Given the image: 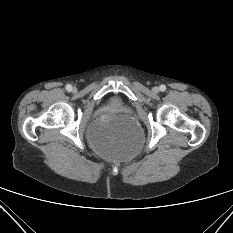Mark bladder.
<instances>
[{"instance_id": "31cf9c89", "label": "bladder", "mask_w": 233, "mask_h": 233, "mask_svg": "<svg viewBox=\"0 0 233 233\" xmlns=\"http://www.w3.org/2000/svg\"><path fill=\"white\" fill-rule=\"evenodd\" d=\"M91 142L94 149L105 158L127 159L132 157L138 144L130 140L121 138L115 132H105L97 130L91 134Z\"/></svg>"}]
</instances>
